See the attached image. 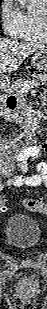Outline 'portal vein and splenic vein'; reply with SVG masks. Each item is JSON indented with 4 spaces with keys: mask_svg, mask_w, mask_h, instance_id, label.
<instances>
[{
    "mask_svg": "<svg viewBox=\"0 0 47 309\" xmlns=\"http://www.w3.org/2000/svg\"><path fill=\"white\" fill-rule=\"evenodd\" d=\"M38 85H39L38 82H30V83H25V84H23V87H24V88H30V87L38 86Z\"/></svg>",
    "mask_w": 47,
    "mask_h": 309,
    "instance_id": "portal-vein-and-splenic-vein-1",
    "label": "portal vein and splenic vein"
}]
</instances>
